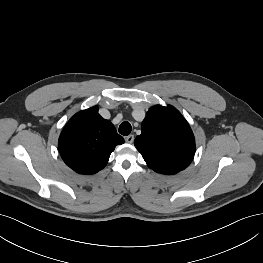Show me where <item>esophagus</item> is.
<instances>
[{
    "label": "esophagus",
    "mask_w": 263,
    "mask_h": 263,
    "mask_svg": "<svg viewBox=\"0 0 263 263\" xmlns=\"http://www.w3.org/2000/svg\"><path fill=\"white\" fill-rule=\"evenodd\" d=\"M125 141L129 144L133 143L134 141V135H128L125 137Z\"/></svg>",
    "instance_id": "obj_1"
}]
</instances>
